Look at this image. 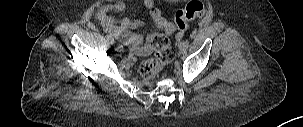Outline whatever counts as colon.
I'll use <instances>...</instances> for the list:
<instances>
[{
	"instance_id": "1",
	"label": "colon",
	"mask_w": 303,
	"mask_h": 127,
	"mask_svg": "<svg viewBox=\"0 0 303 127\" xmlns=\"http://www.w3.org/2000/svg\"><path fill=\"white\" fill-rule=\"evenodd\" d=\"M205 7L202 3L194 1L175 14V24L181 31L188 27V22L202 18ZM154 50V56L142 61L138 67L139 74L146 80H152L163 69L165 65L174 58V50L170 40L166 36H156L150 42Z\"/></svg>"
}]
</instances>
